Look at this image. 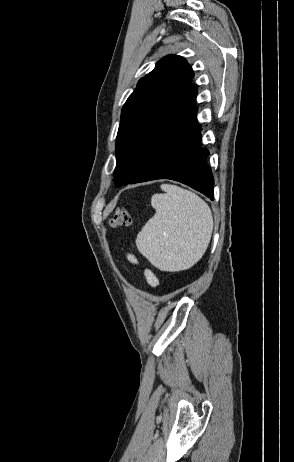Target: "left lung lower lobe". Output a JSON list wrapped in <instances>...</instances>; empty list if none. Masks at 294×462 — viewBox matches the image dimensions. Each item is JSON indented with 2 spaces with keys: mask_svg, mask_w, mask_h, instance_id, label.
Returning <instances> with one entry per match:
<instances>
[{
  "mask_svg": "<svg viewBox=\"0 0 294 462\" xmlns=\"http://www.w3.org/2000/svg\"><path fill=\"white\" fill-rule=\"evenodd\" d=\"M196 94L190 84L170 104L155 107L114 177L117 187L171 179L214 199V178L206 163L209 152L199 146Z\"/></svg>",
  "mask_w": 294,
  "mask_h": 462,
  "instance_id": "0a47b994",
  "label": "left lung lower lobe"
}]
</instances>
